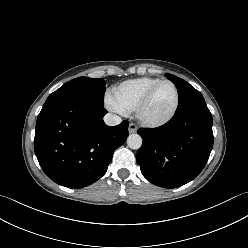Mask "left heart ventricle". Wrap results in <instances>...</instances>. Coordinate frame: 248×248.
Here are the masks:
<instances>
[{"label":"left heart ventricle","mask_w":248,"mask_h":248,"mask_svg":"<svg viewBox=\"0 0 248 248\" xmlns=\"http://www.w3.org/2000/svg\"><path fill=\"white\" fill-rule=\"evenodd\" d=\"M175 103V92L171 85H161L150 98L144 109L145 118L153 121L165 118Z\"/></svg>","instance_id":"left-heart-ventricle-1"}]
</instances>
